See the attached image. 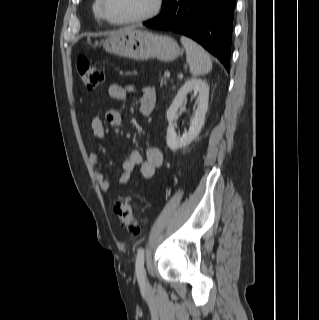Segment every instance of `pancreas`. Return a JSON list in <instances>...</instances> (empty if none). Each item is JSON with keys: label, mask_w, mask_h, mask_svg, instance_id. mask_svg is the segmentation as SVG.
<instances>
[{"label": "pancreas", "mask_w": 319, "mask_h": 320, "mask_svg": "<svg viewBox=\"0 0 319 320\" xmlns=\"http://www.w3.org/2000/svg\"><path fill=\"white\" fill-rule=\"evenodd\" d=\"M168 81V78L165 76L160 77V85L166 84Z\"/></svg>", "instance_id": "obj_1"}]
</instances>
